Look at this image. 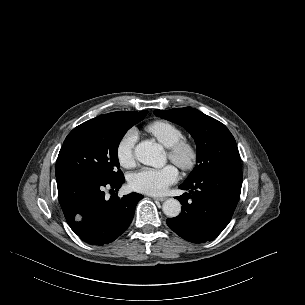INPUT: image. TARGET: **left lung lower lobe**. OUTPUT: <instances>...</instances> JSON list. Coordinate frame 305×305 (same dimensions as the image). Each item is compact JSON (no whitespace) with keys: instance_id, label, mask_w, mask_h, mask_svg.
Wrapping results in <instances>:
<instances>
[{"instance_id":"1","label":"left lung lower lobe","mask_w":305,"mask_h":305,"mask_svg":"<svg viewBox=\"0 0 305 305\" xmlns=\"http://www.w3.org/2000/svg\"><path fill=\"white\" fill-rule=\"evenodd\" d=\"M241 165L225 166L182 183L189 193L176 197L181 213L168 218V226L183 239L204 243L215 239L230 222L242 186Z\"/></svg>"}]
</instances>
